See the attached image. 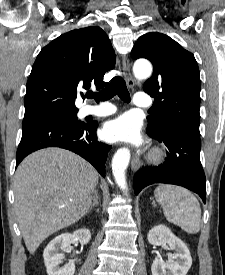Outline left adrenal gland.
<instances>
[{
    "instance_id": "obj_1",
    "label": "left adrenal gland",
    "mask_w": 225,
    "mask_h": 275,
    "mask_svg": "<svg viewBox=\"0 0 225 275\" xmlns=\"http://www.w3.org/2000/svg\"><path fill=\"white\" fill-rule=\"evenodd\" d=\"M152 205L154 206V207H156V204H155V201L153 200V202H152Z\"/></svg>"
}]
</instances>
